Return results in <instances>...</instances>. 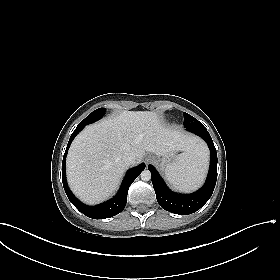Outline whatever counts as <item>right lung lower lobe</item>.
Wrapping results in <instances>:
<instances>
[{"label":"right lung lower lobe","instance_id":"98d812e1","mask_svg":"<svg viewBox=\"0 0 280 280\" xmlns=\"http://www.w3.org/2000/svg\"><path fill=\"white\" fill-rule=\"evenodd\" d=\"M84 128V126L78 125L77 128L72 133L64 157L62 162V182L64 186V190L66 192L67 197L69 198L70 202L84 215L92 219H105L110 218L112 216L117 215L120 213L126 205L127 202V193L130 185L133 183L136 177L145 169V164L142 163L134 168H131L127 171L121 187L118 193L109 201L104 202L97 206H87L81 203L70 191L67 181H66V172H65V161L68 149L73 141L74 137Z\"/></svg>","mask_w":280,"mask_h":280}]
</instances>
